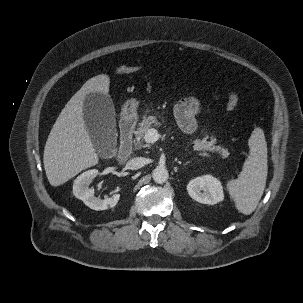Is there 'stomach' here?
Masks as SVG:
<instances>
[{"mask_svg": "<svg viewBox=\"0 0 303 303\" xmlns=\"http://www.w3.org/2000/svg\"><path fill=\"white\" fill-rule=\"evenodd\" d=\"M139 102L136 99L128 100L122 110V115L124 118H132L137 114V107Z\"/></svg>", "mask_w": 303, "mask_h": 303, "instance_id": "obj_1", "label": "stomach"}]
</instances>
